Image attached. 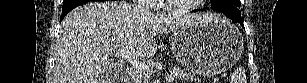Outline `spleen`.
<instances>
[{"mask_svg": "<svg viewBox=\"0 0 307 83\" xmlns=\"http://www.w3.org/2000/svg\"><path fill=\"white\" fill-rule=\"evenodd\" d=\"M230 83H247L245 70L241 67L237 68L232 74Z\"/></svg>", "mask_w": 307, "mask_h": 83, "instance_id": "3e777b00", "label": "spleen"}]
</instances>
